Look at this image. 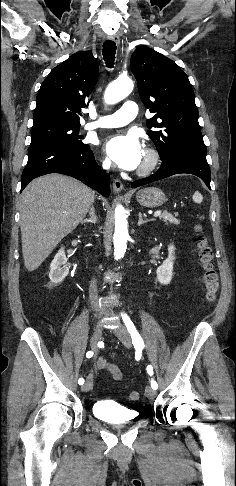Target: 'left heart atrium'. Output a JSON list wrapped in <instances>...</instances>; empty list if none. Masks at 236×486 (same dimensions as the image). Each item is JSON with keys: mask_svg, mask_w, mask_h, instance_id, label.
I'll use <instances>...</instances> for the list:
<instances>
[{"mask_svg": "<svg viewBox=\"0 0 236 486\" xmlns=\"http://www.w3.org/2000/svg\"><path fill=\"white\" fill-rule=\"evenodd\" d=\"M103 147L109 158L125 170L138 168L144 157L142 145L133 133L110 137L105 141Z\"/></svg>", "mask_w": 236, "mask_h": 486, "instance_id": "39dd6f15", "label": "left heart atrium"}]
</instances>
